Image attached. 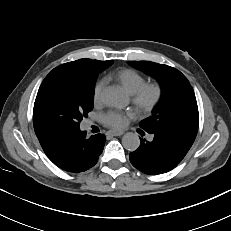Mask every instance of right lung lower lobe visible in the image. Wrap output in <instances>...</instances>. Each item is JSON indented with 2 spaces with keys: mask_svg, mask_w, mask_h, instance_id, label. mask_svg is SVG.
<instances>
[{
  "mask_svg": "<svg viewBox=\"0 0 231 231\" xmlns=\"http://www.w3.org/2000/svg\"><path fill=\"white\" fill-rule=\"evenodd\" d=\"M78 130H56L46 133L38 140L48 158L59 168L79 173L94 166L102 153L106 137L102 134L85 138Z\"/></svg>",
  "mask_w": 231,
  "mask_h": 231,
  "instance_id": "98d812e1",
  "label": "right lung lower lobe"
}]
</instances>
